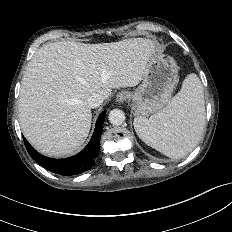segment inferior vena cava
<instances>
[{
	"instance_id": "602c4592",
	"label": "inferior vena cava",
	"mask_w": 232,
	"mask_h": 232,
	"mask_svg": "<svg viewBox=\"0 0 232 232\" xmlns=\"http://www.w3.org/2000/svg\"><path fill=\"white\" fill-rule=\"evenodd\" d=\"M104 101V98L101 94L94 93L88 99L87 103L90 108H97L99 107Z\"/></svg>"
}]
</instances>
